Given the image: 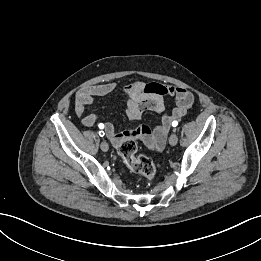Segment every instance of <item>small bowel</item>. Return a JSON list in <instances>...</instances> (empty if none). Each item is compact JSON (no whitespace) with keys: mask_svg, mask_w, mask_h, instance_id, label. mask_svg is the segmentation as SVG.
Masks as SVG:
<instances>
[{"mask_svg":"<svg viewBox=\"0 0 261 261\" xmlns=\"http://www.w3.org/2000/svg\"><path fill=\"white\" fill-rule=\"evenodd\" d=\"M115 91H119L125 97L126 114L132 121L140 120L145 111L163 112L166 96L174 97L176 106L171 112L164 114L161 122L152 130L141 125L128 131L117 132L111 123H100L104 125L106 136L114 146H118L127 137H139L153 148H162L165 145L171 122L184 116L194 102L193 94L180 86L146 83L141 80L121 86L114 82L96 84L81 89L75 97V112L84 126L92 127L99 119L96 114H85L86 108L93 104L96 97Z\"/></svg>","mask_w":261,"mask_h":261,"instance_id":"small-bowel-1","label":"small bowel"}]
</instances>
